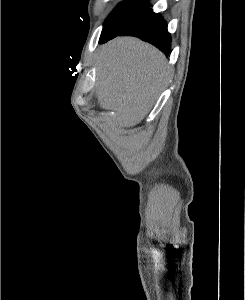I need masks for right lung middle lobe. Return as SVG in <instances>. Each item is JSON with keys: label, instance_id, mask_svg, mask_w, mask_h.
<instances>
[{"label": "right lung middle lobe", "instance_id": "1", "mask_svg": "<svg viewBox=\"0 0 245 300\" xmlns=\"http://www.w3.org/2000/svg\"><path fill=\"white\" fill-rule=\"evenodd\" d=\"M149 6L148 2L138 0L119 3L105 21L100 39L118 34L147 16L152 12Z\"/></svg>", "mask_w": 245, "mask_h": 300}]
</instances>
